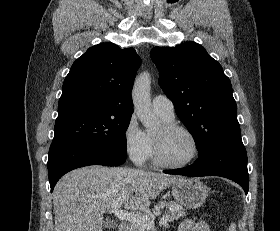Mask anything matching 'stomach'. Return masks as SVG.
I'll return each mask as SVG.
<instances>
[{
  "instance_id": "0dacf381",
  "label": "stomach",
  "mask_w": 280,
  "mask_h": 231,
  "mask_svg": "<svg viewBox=\"0 0 280 231\" xmlns=\"http://www.w3.org/2000/svg\"><path fill=\"white\" fill-rule=\"evenodd\" d=\"M208 191L207 185L193 177H177L172 185V195L176 201L189 209L201 207L207 199Z\"/></svg>"
}]
</instances>
